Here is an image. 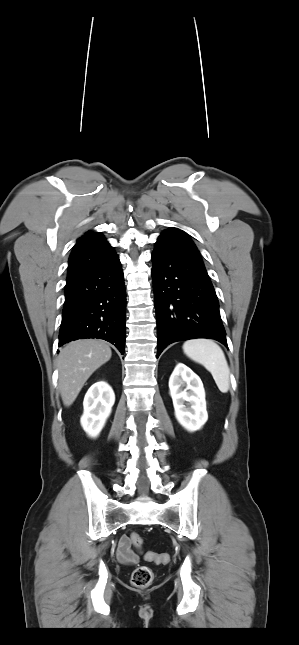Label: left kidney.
<instances>
[{"label": "left kidney", "mask_w": 299, "mask_h": 645, "mask_svg": "<svg viewBox=\"0 0 299 645\" xmlns=\"http://www.w3.org/2000/svg\"><path fill=\"white\" fill-rule=\"evenodd\" d=\"M169 389L178 422L190 432L199 430L208 419L201 379L179 363L170 376Z\"/></svg>", "instance_id": "left-kidney-1"}]
</instances>
